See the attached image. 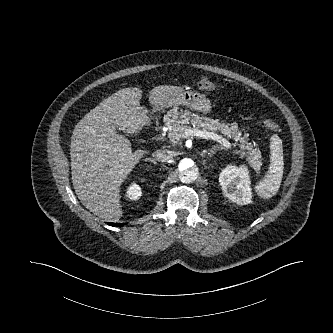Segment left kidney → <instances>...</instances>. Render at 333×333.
I'll return each instance as SVG.
<instances>
[{
  "instance_id": "obj_1",
  "label": "left kidney",
  "mask_w": 333,
  "mask_h": 333,
  "mask_svg": "<svg viewBox=\"0 0 333 333\" xmlns=\"http://www.w3.org/2000/svg\"><path fill=\"white\" fill-rule=\"evenodd\" d=\"M219 182L223 194L232 202L239 205H246L252 202L250 177L246 166H227L220 173Z\"/></svg>"
}]
</instances>
